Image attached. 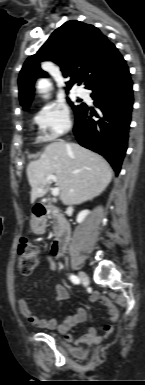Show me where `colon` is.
<instances>
[{
    "instance_id": "colon-1",
    "label": "colon",
    "mask_w": 145,
    "mask_h": 385,
    "mask_svg": "<svg viewBox=\"0 0 145 385\" xmlns=\"http://www.w3.org/2000/svg\"><path fill=\"white\" fill-rule=\"evenodd\" d=\"M39 247L27 240H22L17 251L18 270L22 276H29L38 264Z\"/></svg>"
}]
</instances>
